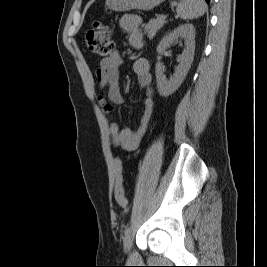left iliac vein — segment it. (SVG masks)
Segmentation results:
<instances>
[{"label": "left iliac vein", "mask_w": 267, "mask_h": 267, "mask_svg": "<svg viewBox=\"0 0 267 267\" xmlns=\"http://www.w3.org/2000/svg\"><path fill=\"white\" fill-rule=\"evenodd\" d=\"M123 243H124L123 244L124 245V251L126 253H128L131 250V247H132V235H131V233L127 234L124 237Z\"/></svg>", "instance_id": "4c4485c4"}]
</instances>
